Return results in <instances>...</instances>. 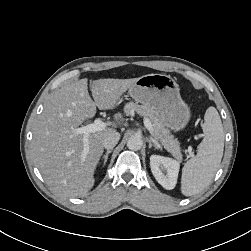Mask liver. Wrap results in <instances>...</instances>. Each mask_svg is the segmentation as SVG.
I'll return each instance as SVG.
<instances>
[{"instance_id":"6515ba94","label":"liver","mask_w":251,"mask_h":251,"mask_svg":"<svg viewBox=\"0 0 251 251\" xmlns=\"http://www.w3.org/2000/svg\"><path fill=\"white\" fill-rule=\"evenodd\" d=\"M98 79L91 84L94 101L88 93V80L81 79L58 89L47 101L33 127L31 150L46 183L67 196L85 195L94 185V172L103 153V140L113 128L90 133L88 151L83 134L74 133L96 110L113 109L120 97L137 81ZM121 115L115 116V121Z\"/></svg>"}]
</instances>
